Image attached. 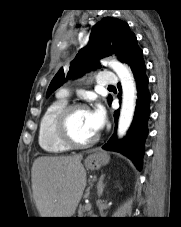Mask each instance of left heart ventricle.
I'll use <instances>...</instances> for the list:
<instances>
[{
  "mask_svg": "<svg viewBox=\"0 0 181 227\" xmlns=\"http://www.w3.org/2000/svg\"><path fill=\"white\" fill-rule=\"evenodd\" d=\"M70 131L80 141L88 140L96 134L89 117L88 110H77L70 119Z\"/></svg>",
  "mask_w": 181,
  "mask_h": 227,
  "instance_id": "b2bd125f",
  "label": "left heart ventricle"
}]
</instances>
